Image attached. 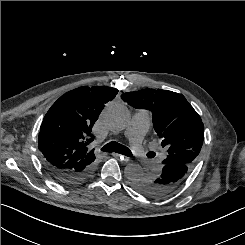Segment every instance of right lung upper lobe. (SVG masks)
I'll list each match as a JSON object with an SVG mask.
<instances>
[{
  "mask_svg": "<svg viewBox=\"0 0 245 245\" xmlns=\"http://www.w3.org/2000/svg\"><path fill=\"white\" fill-rule=\"evenodd\" d=\"M118 90L105 86L79 87L62 95L48 110L40 127L38 148L43 162L78 171L94 163L91 133L105 104Z\"/></svg>",
  "mask_w": 245,
  "mask_h": 245,
  "instance_id": "cb5924a9",
  "label": "right lung upper lobe"
}]
</instances>
